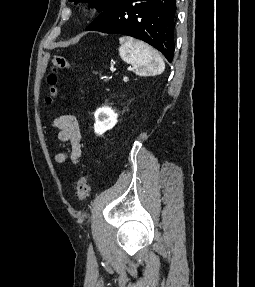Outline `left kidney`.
<instances>
[{"label":"left kidney","instance_id":"5707ae66","mask_svg":"<svg viewBox=\"0 0 255 287\" xmlns=\"http://www.w3.org/2000/svg\"><path fill=\"white\" fill-rule=\"evenodd\" d=\"M94 118V130L97 136H102L106 130H111L118 122V114H115L114 110H111L108 106L98 108L94 114Z\"/></svg>","mask_w":255,"mask_h":287}]
</instances>
